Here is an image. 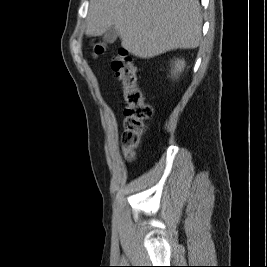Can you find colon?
Here are the masks:
<instances>
[{
    "label": "colon",
    "instance_id": "colon-1",
    "mask_svg": "<svg viewBox=\"0 0 267 267\" xmlns=\"http://www.w3.org/2000/svg\"><path fill=\"white\" fill-rule=\"evenodd\" d=\"M105 50L106 45L102 42L93 45L95 56L102 55ZM111 66L122 85L124 131L121 142L123 154L127 160H132L140 146L146 128V120L153 114V108L144 101L138 84L137 67L128 51L120 49L113 58Z\"/></svg>",
    "mask_w": 267,
    "mask_h": 267
}]
</instances>
